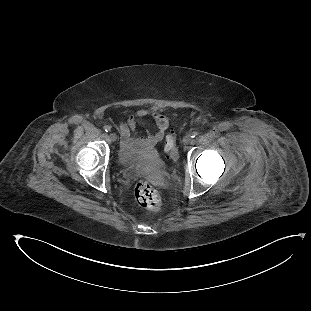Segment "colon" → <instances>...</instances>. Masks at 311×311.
<instances>
[{
    "instance_id": "5ec220e1",
    "label": "colon",
    "mask_w": 311,
    "mask_h": 311,
    "mask_svg": "<svg viewBox=\"0 0 311 311\" xmlns=\"http://www.w3.org/2000/svg\"><path fill=\"white\" fill-rule=\"evenodd\" d=\"M163 150L167 157L176 154V138L173 132L166 135ZM135 199L144 209L158 211L162 205V199L156 188L145 179L136 182L134 188Z\"/></svg>"
}]
</instances>
